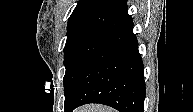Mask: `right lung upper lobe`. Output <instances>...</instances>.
Segmentation results:
<instances>
[{"label": "right lung upper lobe", "mask_w": 193, "mask_h": 112, "mask_svg": "<svg viewBox=\"0 0 193 112\" xmlns=\"http://www.w3.org/2000/svg\"><path fill=\"white\" fill-rule=\"evenodd\" d=\"M132 22L126 0H79L67 31L94 27L118 32Z\"/></svg>", "instance_id": "right-lung-upper-lobe-1"}]
</instances>
